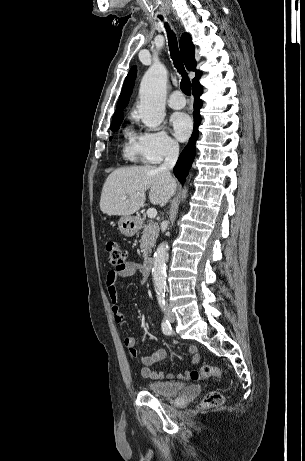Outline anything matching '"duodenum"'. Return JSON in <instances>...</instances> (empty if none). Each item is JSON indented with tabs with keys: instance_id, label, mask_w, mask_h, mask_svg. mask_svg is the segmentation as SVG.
Wrapping results in <instances>:
<instances>
[{
	"instance_id": "duodenum-1",
	"label": "duodenum",
	"mask_w": 305,
	"mask_h": 461,
	"mask_svg": "<svg viewBox=\"0 0 305 461\" xmlns=\"http://www.w3.org/2000/svg\"><path fill=\"white\" fill-rule=\"evenodd\" d=\"M154 264V259L151 256H146L144 259V266L146 269H151Z\"/></svg>"
}]
</instances>
